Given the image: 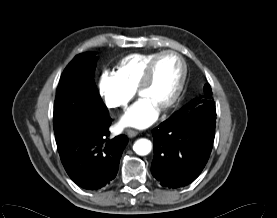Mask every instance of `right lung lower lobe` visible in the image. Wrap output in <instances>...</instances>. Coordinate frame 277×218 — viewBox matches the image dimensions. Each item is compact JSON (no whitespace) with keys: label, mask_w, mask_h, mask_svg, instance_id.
I'll use <instances>...</instances> for the list:
<instances>
[{"label":"right lung lower lobe","mask_w":277,"mask_h":218,"mask_svg":"<svg viewBox=\"0 0 277 218\" xmlns=\"http://www.w3.org/2000/svg\"><path fill=\"white\" fill-rule=\"evenodd\" d=\"M77 84L60 85L56 97L81 100L84 92ZM109 114L91 126L75 132L58 146L62 164L69 177L80 187L97 190L115 178L119 161L128 139L119 135L109 140Z\"/></svg>","instance_id":"1"}]
</instances>
